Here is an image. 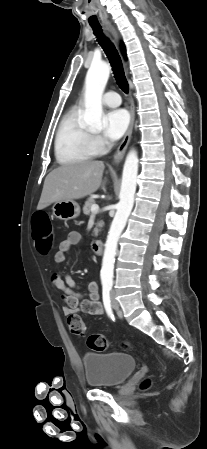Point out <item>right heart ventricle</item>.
<instances>
[{
	"instance_id": "e07e8e85",
	"label": "right heart ventricle",
	"mask_w": 207,
	"mask_h": 449,
	"mask_svg": "<svg viewBox=\"0 0 207 449\" xmlns=\"http://www.w3.org/2000/svg\"><path fill=\"white\" fill-rule=\"evenodd\" d=\"M91 134L79 121V111L67 112L58 126L55 136V156L61 165H69L91 159L97 152Z\"/></svg>"
}]
</instances>
